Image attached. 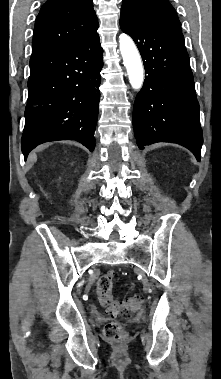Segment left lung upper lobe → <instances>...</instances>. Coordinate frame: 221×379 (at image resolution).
<instances>
[{"label": "left lung upper lobe", "mask_w": 221, "mask_h": 379, "mask_svg": "<svg viewBox=\"0 0 221 379\" xmlns=\"http://www.w3.org/2000/svg\"><path fill=\"white\" fill-rule=\"evenodd\" d=\"M122 5L130 6L151 25L181 32L177 13L168 0H123Z\"/></svg>", "instance_id": "1"}]
</instances>
